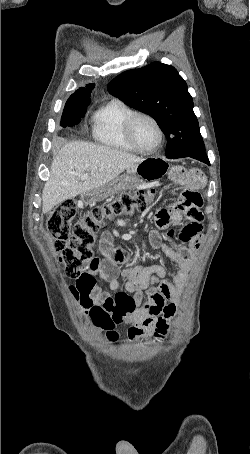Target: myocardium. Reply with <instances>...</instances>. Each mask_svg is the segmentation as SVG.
I'll return each mask as SVG.
<instances>
[{
	"mask_svg": "<svg viewBox=\"0 0 250 454\" xmlns=\"http://www.w3.org/2000/svg\"><path fill=\"white\" fill-rule=\"evenodd\" d=\"M141 118H145V119H148L149 121H151L158 131L159 141L155 147H153L152 149H149V150H146V149H143L142 147H140L135 139V135H134L135 125H136L137 121ZM125 135H126V138H127V141L129 142V144L137 152L142 153V154L156 153L162 147V145L164 143V139H165L164 130H163L161 124L159 123V121L153 115H151L149 113H145V112H135L127 119L126 124H125Z\"/></svg>",
	"mask_w": 250,
	"mask_h": 454,
	"instance_id": "myocardium-1",
	"label": "myocardium"
}]
</instances>
